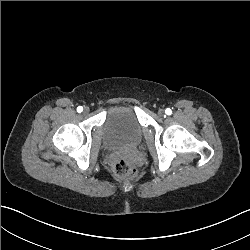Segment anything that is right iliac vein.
<instances>
[{"instance_id":"63e3f726","label":"right iliac vein","mask_w":250,"mask_h":250,"mask_svg":"<svg viewBox=\"0 0 250 250\" xmlns=\"http://www.w3.org/2000/svg\"><path fill=\"white\" fill-rule=\"evenodd\" d=\"M89 112V108L88 107H85L84 108V113H88Z\"/></svg>"}]
</instances>
